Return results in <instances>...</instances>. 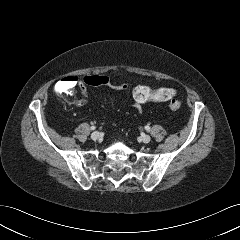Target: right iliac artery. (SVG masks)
Segmentation results:
<instances>
[{"mask_svg": "<svg viewBox=\"0 0 240 240\" xmlns=\"http://www.w3.org/2000/svg\"><path fill=\"white\" fill-rule=\"evenodd\" d=\"M96 129V127L95 126H91V130H95Z\"/></svg>", "mask_w": 240, "mask_h": 240, "instance_id": "right-iliac-artery-1", "label": "right iliac artery"}]
</instances>
